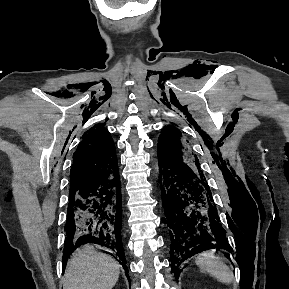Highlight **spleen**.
Masks as SVG:
<instances>
[{
  "mask_svg": "<svg viewBox=\"0 0 289 289\" xmlns=\"http://www.w3.org/2000/svg\"><path fill=\"white\" fill-rule=\"evenodd\" d=\"M195 262L202 272L208 273L223 284H230L234 279L224 259L215 255V250L200 253Z\"/></svg>",
  "mask_w": 289,
  "mask_h": 289,
  "instance_id": "3e777b00",
  "label": "spleen"
}]
</instances>
